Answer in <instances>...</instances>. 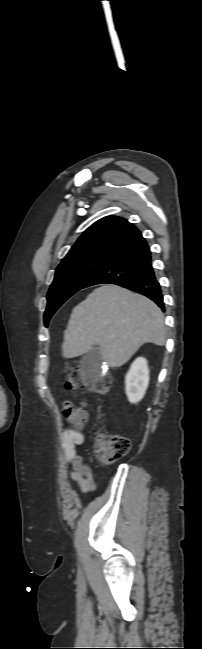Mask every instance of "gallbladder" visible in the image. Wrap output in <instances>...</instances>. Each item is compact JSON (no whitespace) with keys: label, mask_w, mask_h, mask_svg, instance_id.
Returning <instances> with one entry per match:
<instances>
[{"label":"gallbladder","mask_w":202,"mask_h":649,"mask_svg":"<svg viewBox=\"0 0 202 649\" xmlns=\"http://www.w3.org/2000/svg\"><path fill=\"white\" fill-rule=\"evenodd\" d=\"M79 368L88 379H98L103 371V360L100 347L94 345L80 360Z\"/></svg>","instance_id":"obj_1"}]
</instances>
